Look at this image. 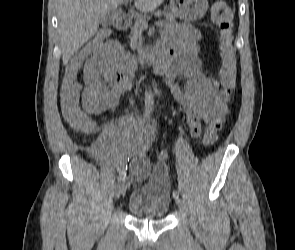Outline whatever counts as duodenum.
<instances>
[{
    "instance_id": "obj_1",
    "label": "duodenum",
    "mask_w": 295,
    "mask_h": 250,
    "mask_svg": "<svg viewBox=\"0 0 295 250\" xmlns=\"http://www.w3.org/2000/svg\"><path fill=\"white\" fill-rule=\"evenodd\" d=\"M131 22V15L128 12H122L113 19V27L117 31H125ZM165 53L160 46H153L147 52L140 55L138 59H129L123 56L119 62L117 72L123 79H130L140 68L148 65H156V68H162Z\"/></svg>"
}]
</instances>
